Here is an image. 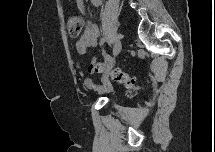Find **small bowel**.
I'll use <instances>...</instances> for the list:
<instances>
[{
	"label": "small bowel",
	"instance_id": "1",
	"mask_svg": "<svg viewBox=\"0 0 215 152\" xmlns=\"http://www.w3.org/2000/svg\"><path fill=\"white\" fill-rule=\"evenodd\" d=\"M102 0H92V4L95 6L102 5ZM77 8L81 13H85V4L83 0H76ZM100 36V27L92 22H87L83 35L76 42V50L78 54L84 55L88 50L98 44ZM97 58H93L92 62H96ZM76 68L81 76L84 75L83 67L77 63ZM84 85L98 92H109L113 89L111 83L108 80H104L101 84H97L91 78L84 79Z\"/></svg>",
	"mask_w": 215,
	"mask_h": 152
}]
</instances>
